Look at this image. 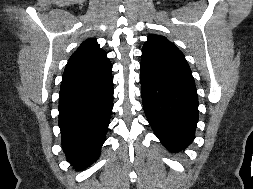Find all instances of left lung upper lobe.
Instances as JSON below:
<instances>
[{
    "mask_svg": "<svg viewBox=\"0 0 253 189\" xmlns=\"http://www.w3.org/2000/svg\"><path fill=\"white\" fill-rule=\"evenodd\" d=\"M141 64L193 79L183 53L164 36L155 34L148 36L142 50Z\"/></svg>",
    "mask_w": 253,
    "mask_h": 189,
    "instance_id": "obj_1",
    "label": "left lung upper lobe"
}]
</instances>
